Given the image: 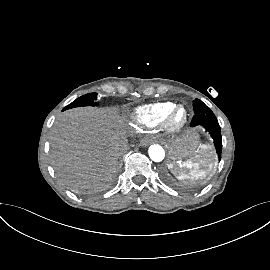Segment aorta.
I'll use <instances>...</instances> for the list:
<instances>
[{
  "label": "aorta",
  "instance_id": "762f6f07",
  "mask_svg": "<svg viewBox=\"0 0 270 270\" xmlns=\"http://www.w3.org/2000/svg\"><path fill=\"white\" fill-rule=\"evenodd\" d=\"M149 157L154 162H161L165 157V151L162 146L153 144L148 149Z\"/></svg>",
  "mask_w": 270,
  "mask_h": 270
}]
</instances>
